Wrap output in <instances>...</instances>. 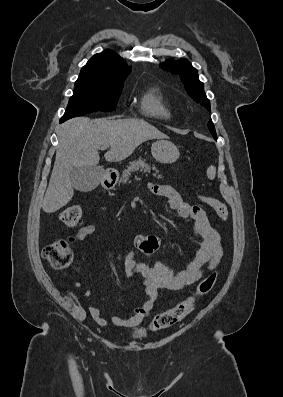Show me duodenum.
Instances as JSON below:
<instances>
[{
    "label": "duodenum",
    "mask_w": 283,
    "mask_h": 397,
    "mask_svg": "<svg viewBox=\"0 0 283 397\" xmlns=\"http://www.w3.org/2000/svg\"><path fill=\"white\" fill-rule=\"evenodd\" d=\"M113 183H114V180L113 179H107L105 182H104V187L105 188H111L112 186H113Z\"/></svg>",
    "instance_id": "obj_1"
}]
</instances>
